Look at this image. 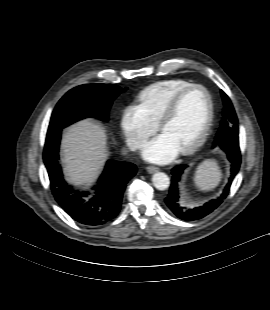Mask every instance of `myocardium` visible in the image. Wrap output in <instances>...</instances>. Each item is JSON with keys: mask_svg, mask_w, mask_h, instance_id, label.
<instances>
[{"mask_svg": "<svg viewBox=\"0 0 270 310\" xmlns=\"http://www.w3.org/2000/svg\"><path fill=\"white\" fill-rule=\"evenodd\" d=\"M194 90L203 91L207 97V102H208L207 117H206L205 125H204L202 132L200 133V135L197 137V139L193 143H191L187 148L180 151V154H182V155H189V154L194 153L196 150H198L204 144V142L206 141V139L210 133L212 123H213V118H214V103H213L212 96H211L210 92L207 90V88H205L204 86L199 85V84H191V85L183 88L179 92H177L172 97V99L170 100V102L168 103L166 108L163 110V112L160 115L158 122H157V130L161 132L163 126L167 122H169V120L176 113L182 98L187 93L194 91Z\"/></svg>", "mask_w": 270, "mask_h": 310, "instance_id": "obj_1", "label": "myocardium"}]
</instances>
